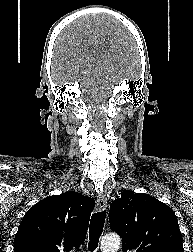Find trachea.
Instances as JSON below:
<instances>
[{"mask_svg":"<svg viewBox=\"0 0 193 252\" xmlns=\"http://www.w3.org/2000/svg\"><path fill=\"white\" fill-rule=\"evenodd\" d=\"M105 223V211L97 212L92 215L89 228V243L88 248L94 251L99 243V238L102 234Z\"/></svg>","mask_w":193,"mask_h":252,"instance_id":"1","label":"trachea"}]
</instances>
